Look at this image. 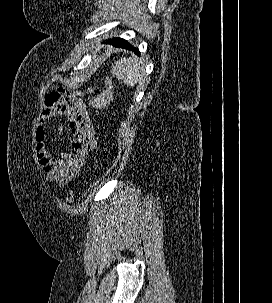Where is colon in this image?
Segmentation results:
<instances>
[{
  "label": "colon",
  "instance_id": "colon-1",
  "mask_svg": "<svg viewBox=\"0 0 272 303\" xmlns=\"http://www.w3.org/2000/svg\"><path fill=\"white\" fill-rule=\"evenodd\" d=\"M114 94V86L111 79H106L105 89L103 92L90 102V107L95 111L102 110L111 100ZM67 202L71 203L74 201V195L72 191L67 194Z\"/></svg>",
  "mask_w": 272,
  "mask_h": 303
}]
</instances>
